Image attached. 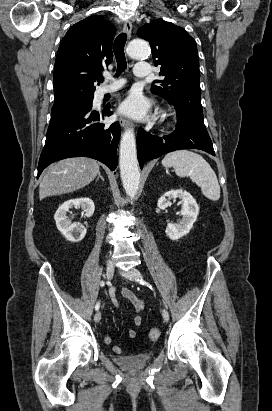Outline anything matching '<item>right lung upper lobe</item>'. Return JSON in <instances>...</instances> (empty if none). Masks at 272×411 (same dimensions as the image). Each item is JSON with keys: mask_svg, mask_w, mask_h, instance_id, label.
I'll return each mask as SVG.
<instances>
[{"mask_svg": "<svg viewBox=\"0 0 272 411\" xmlns=\"http://www.w3.org/2000/svg\"><path fill=\"white\" fill-rule=\"evenodd\" d=\"M116 28L100 16H90L73 25L64 36L53 76L55 103L78 92L94 93V82L112 61Z\"/></svg>", "mask_w": 272, "mask_h": 411, "instance_id": "obj_1", "label": "right lung upper lobe"}]
</instances>
